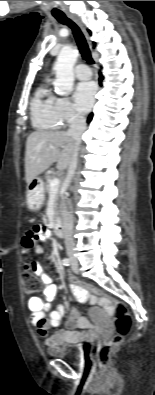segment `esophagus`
<instances>
[{"label":"esophagus","instance_id":"34e87169","mask_svg":"<svg viewBox=\"0 0 155 395\" xmlns=\"http://www.w3.org/2000/svg\"><path fill=\"white\" fill-rule=\"evenodd\" d=\"M68 17H70L79 26V28L82 30L85 36H87V32L85 30L83 23L73 14H68Z\"/></svg>","mask_w":155,"mask_h":395}]
</instances>
